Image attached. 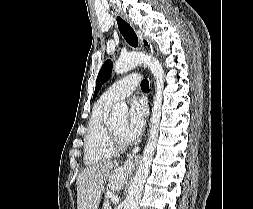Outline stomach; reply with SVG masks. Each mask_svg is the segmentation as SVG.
<instances>
[{
	"instance_id": "obj_1",
	"label": "stomach",
	"mask_w": 253,
	"mask_h": 209,
	"mask_svg": "<svg viewBox=\"0 0 253 209\" xmlns=\"http://www.w3.org/2000/svg\"><path fill=\"white\" fill-rule=\"evenodd\" d=\"M110 181H101L100 190H110L111 187ZM100 209H107L106 206H101Z\"/></svg>"
}]
</instances>
